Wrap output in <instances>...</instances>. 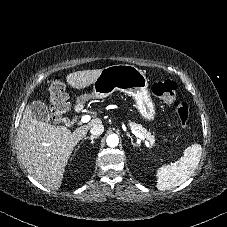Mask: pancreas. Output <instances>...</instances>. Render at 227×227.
I'll list each match as a JSON object with an SVG mask.
<instances>
[{"instance_id": "pancreas-1", "label": "pancreas", "mask_w": 227, "mask_h": 227, "mask_svg": "<svg viewBox=\"0 0 227 227\" xmlns=\"http://www.w3.org/2000/svg\"><path fill=\"white\" fill-rule=\"evenodd\" d=\"M130 127L131 129L137 130L141 133H143L144 135H146L148 137V140L150 141L151 145L155 144V137L153 135H151L150 132H147V130L142 127V125L140 124H136V123H130Z\"/></svg>"}]
</instances>
